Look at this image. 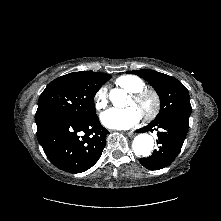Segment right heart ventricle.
Listing matches in <instances>:
<instances>
[{
  "label": "right heart ventricle",
  "mask_w": 221,
  "mask_h": 221,
  "mask_svg": "<svg viewBox=\"0 0 221 221\" xmlns=\"http://www.w3.org/2000/svg\"><path fill=\"white\" fill-rule=\"evenodd\" d=\"M116 84L130 93H134L145 88V82L134 75L120 76L117 78Z\"/></svg>",
  "instance_id": "right-heart-ventricle-1"
}]
</instances>
